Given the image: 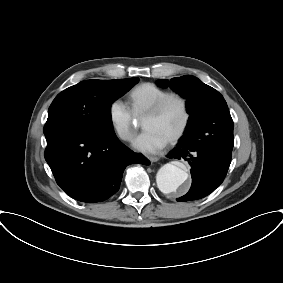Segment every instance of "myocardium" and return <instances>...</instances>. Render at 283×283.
I'll return each instance as SVG.
<instances>
[{
    "mask_svg": "<svg viewBox=\"0 0 283 283\" xmlns=\"http://www.w3.org/2000/svg\"><path fill=\"white\" fill-rule=\"evenodd\" d=\"M172 100H177L180 102L183 110V121L178 131L171 138L168 139L169 143L177 142L179 139L182 138V136L188 129V126L191 121V110L188 99L181 93L168 92L163 97H161L144 115V119L159 115L166 107V105Z\"/></svg>",
    "mask_w": 283,
    "mask_h": 283,
    "instance_id": "obj_1",
    "label": "myocardium"
}]
</instances>
